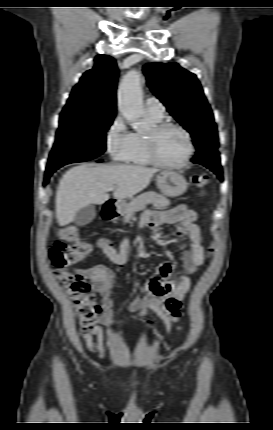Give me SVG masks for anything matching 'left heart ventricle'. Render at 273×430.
I'll list each match as a JSON object with an SVG mask.
<instances>
[{"mask_svg":"<svg viewBox=\"0 0 273 430\" xmlns=\"http://www.w3.org/2000/svg\"><path fill=\"white\" fill-rule=\"evenodd\" d=\"M157 150L161 160L169 163L179 162L187 152L186 138L177 129H166L158 136Z\"/></svg>","mask_w":273,"mask_h":430,"instance_id":"left-heart-ventricle-1","label":"left heart ventricle"}]
</instances>
